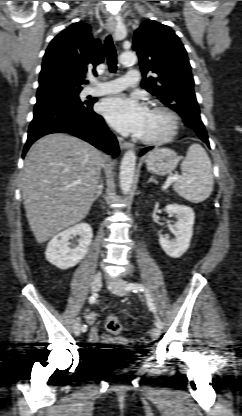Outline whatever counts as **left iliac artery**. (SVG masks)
Wrapping results in <instances>:
<instances>
[{"label":"left iliac artery","instance_id":"44dca946","mask_svg":"<svg viewBox=\"0 0 242 416\" xmlns=\"http://www.w3.org/2000/svg\"><path fill=\"white\" fill-rule=\"evenodd\" d=\"M125 289L127 291H133L135 293L137 292H143L146 296V300H147V305L149 307V309L156 315V307L155 304L153 302V299L151 298V295L149 294L148 290L145 288V286H143L142 284L139 283H128L125 287ZM156 326L159 329L163 328V323L162 321L159 319V317L156 315Z\"/></svg>","mask_w":242,"mask_h":416}]
</instances>
